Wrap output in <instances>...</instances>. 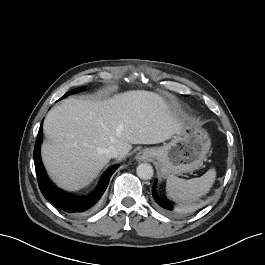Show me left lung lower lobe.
<instances>
[{
	"instance_id": "obj_1",
	"label": "left lung lower lobe",
	"mask_w": 265,
	"mask_h": 265,
	"mask_svg": "<svg viewBox=\"0 0 265 265\" xmlns=\"http://www.w3.org/2000/svg\"><path fill=\"white\" fill-rule=\"evenodd\" d=\"M152 194H153V198L155 200V202L159 205V208L168 214L174 213L175 212V205L173 202L159 196L157 194V190H156V182L154 184V187L152 189Z\"/></svg>"
}]
</instances>
